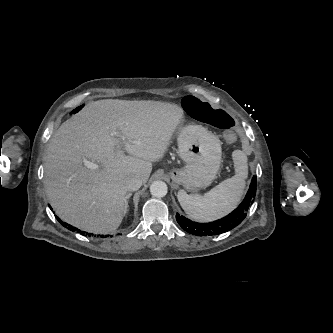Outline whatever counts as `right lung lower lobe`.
Segmentation results:
<instances>
[{"label": "right lung lower lobe", "mask_w": 333, "mask_h": 333, "mask_svg": "<svg viewBox=\"0 0 333 333\" xmlns=\"http://www.w3.org/2000/svg\"><path fill=\"white\" fill-rule=\"evenodd\" d=\"M57 219L59 220V222L64 226V227H68V229L69 230H71V231H76L77 230V228H75V227H73V226H71V225H69V224H67V223H65V222H62L58 217H57ZM78 232L80 233V234H82V235H88V236H91L92 234L91 233H87V232H84V231H80V230H78ZM107 236H109V235H107ZM103 237V236H102Z\"/></svg>", "instance_id": "1"}]
</instances>
